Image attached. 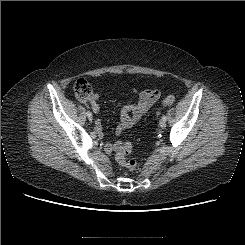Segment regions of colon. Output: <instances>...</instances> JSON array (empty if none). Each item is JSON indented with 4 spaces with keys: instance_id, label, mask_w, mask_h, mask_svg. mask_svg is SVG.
<instances>
[{
    "instance_id": "5ec220e1",
    "label": "colon",
    "mask_w": 245,
    "mask_h": 245,
    "mask_svg": "<svg viewBox=\"0 0 245 245\" xmlns=\"http://www.w3.org/2000/svg\"><path fill=\"white\" fill-rule=\"evenodd\" d=\"M73 91L75 96L82 101H86L91 97L92 88L90 83L84 79L79 78L75 81L73 85ZM175 101V97L170 95L167 96L162 101V106L166 107L171 105ZM132 151V145L129 142H121L118 144L117 153H116V160L120 166L128 169V170H135L137 167V163L133 159H129L128 156Z\"/></svg>"
}]
</instances>
